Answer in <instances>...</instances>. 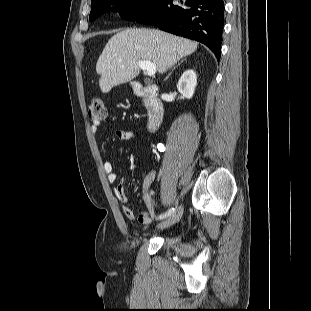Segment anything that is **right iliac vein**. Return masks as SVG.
<instances>
[{
	"instance_id": "1",
	"label": "right iliac vein",
	"mask_w": 311,
	"mask_h": 311,
	"mask_svg": "<svg viewBox=\"0 0 311 311\" xmlns=\"http://www.w3.org/2000/svg\"><path fill=\"white\" fill-rule=\"evenodd\" d=\"M183 215V207L179 206L176 211L172 214V216L168 217L167 219L163 220L162 222L158 223L157 227L159 229H164L173 225L174 223L178 222Z\"/></svg>"
}]
</instances>
